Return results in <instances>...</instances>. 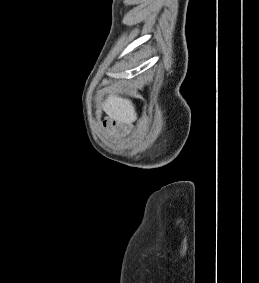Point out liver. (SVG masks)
I'll return each mask as SVG.
<instances>
[{
  "mask_svg": "<svg viewBox=\"0 0 259 283\" xmlns=\"http://www.w3.org/2000/svg\"><path fill=\"white\" fill-rule=\"evenodd\" d=\"M103 110L110 118L125 124H131L137 118L133 103L116 95L105 100Z\"/></svg>",
  "mask_w": 259,
  "mask_h": 283,
  "instance_id": "1",
  "label": "liver"
}]
</instances>
